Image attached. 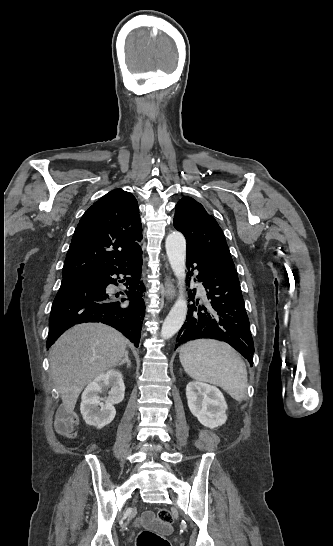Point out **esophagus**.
<instances>
[{
	"label": "esophagus",
	"instance_id": "1",
	"mask_svg": "<svg viewBox=\"0 0 333 546\" xmlns=\"http://www.w3.org/2000/svg\"><path fill=\"white\" fill-rule=\"evenodd\" d=\"M165 293L167 300H173L176 296V290L174 286L173 280L170 278V276L165 277Z\"/></svg>",
	"mask_w": 333,
	"mask_h": 546
}]
</instances>
